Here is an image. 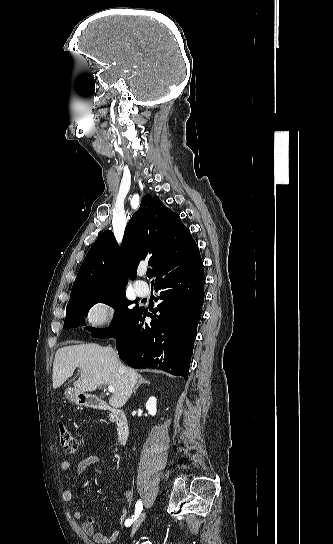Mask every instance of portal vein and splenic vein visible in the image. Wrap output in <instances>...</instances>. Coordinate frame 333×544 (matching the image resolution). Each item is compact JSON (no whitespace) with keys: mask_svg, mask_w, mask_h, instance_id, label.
<instances>
[{"mask_svg":"<svg viewBox=\"0 0 333 544\" xmlns=\"http://www.w3.org/2000/svg\"><path fill=\"white\" fill-rule=\"evenodd\" d=\"M108 391L113 393L114 392V387L113 386H108Z\"/></svg>","mask_w":333,"mask_h":544,"instance_id":"1","label":"portal vein and splenic vein"}]
</instances>
